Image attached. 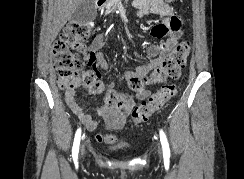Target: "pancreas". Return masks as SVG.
<instances>
[{
  "label": "pancreas",
  "instance_id": "cf45deb5",
  "mask_svg": "<svg viewBox=\"0 0 244 179\" xmlns=\"http://www.w3.org/2000/svg\"><path fill=\"white\" fill-rule=\"evenodd\" d=\"M109 4H114L113 0H110Z\"/></svg>",
  "mask_w": 244,
  "mask_h": 179
}]
</instances>
